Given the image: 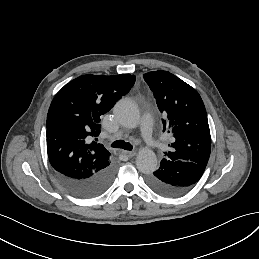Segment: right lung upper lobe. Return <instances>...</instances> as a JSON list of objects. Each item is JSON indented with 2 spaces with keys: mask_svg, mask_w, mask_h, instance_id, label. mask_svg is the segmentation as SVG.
<instances>
[{
  "mask_svg": "<svg viewBox=\"0 0 259 259\" xmlns=\"http://www.w3.org/2000/svg\"><path fill=\"white\" fill-rule=\"evenodd\" d=\"M135 79L130 74H89L56 94L46 123L48 158L56 172L86 179L109 166L110 153L92 140L100 133L102 115L130 91Z\"/></svg>",
  "mask_w": 259,
  "mask_h": 259,
  "instance_id": "obj_1",
  "label": "right lung upper lobe"
}]
</instances>
